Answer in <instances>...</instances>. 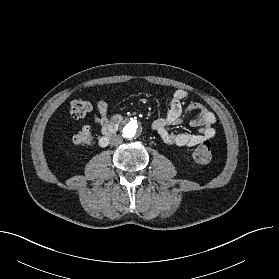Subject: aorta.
<instances>
[{"mask_svg": "<svg viewBox=\"0 0 279 279\" xmlns=\"http://www.w3.org/2000/svg\"><path fill=\"white\" fill-rule=\"evenodd\" d=\"M140 127L135 120H128L124 122L121 127V133L127 139H132L139 134Z\"/></svg>", "mask_w": 279, "mask_h": 279, "instance_id": "obj_1", "label": "aorta"}]
</instances>
